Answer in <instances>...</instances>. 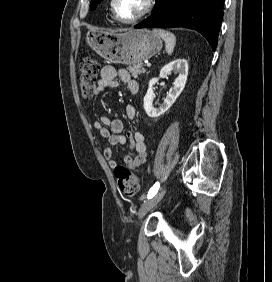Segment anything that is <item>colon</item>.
Here are the masks:
<instances>
[{
    "label": "colon",
    "instance_id": "1",
    "mask_svg": "<svg viewBox=\"0 0 272 282\" xmlns=\"http://www.w3.org/2000/svg\"><path fill=\"white\" fill-rule=\"evenodd\" d=\"M80 85L82 95L91 98L98 87L99 64L91 56L84 57L81 62ZM120 193L125 197L135 196L140 188L139 179L126 167L118 166L114 169Z\"/></svg>",
    "mask_w": 272,
    "mask_h": 282
}]
</instances>
